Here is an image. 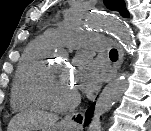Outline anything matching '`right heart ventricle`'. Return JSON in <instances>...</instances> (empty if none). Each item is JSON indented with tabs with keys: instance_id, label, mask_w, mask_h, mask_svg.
Returning <instances> with one entry per match:
<instances>
[{
	"instance_id": "right-heart-ventricle-1",
	"label": "right heart ventricle",
	"mask_w": 151,
	"mask_h": 131,
	"mask_svg": "<svg viewBox=\"0 0 151 131\" xmlns=\"http://www.w3.org/2000/svg\"><path fill=\"white\" fill-rule=\"evenodd\" d=\"M52 47L53 44L40 37L24 49L11 91V105L14 109L21 111L40 106L34 95V82L46 64L47 54Z\"/></svg>"
}]
</instances>
